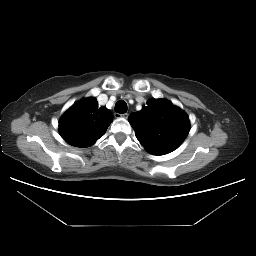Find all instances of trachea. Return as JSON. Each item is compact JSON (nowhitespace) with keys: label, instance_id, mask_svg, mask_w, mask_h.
Wrapping results in <instances>:
<instances>
[{"label":"trachea","instance_id":"obj_1","mask_svg":"<svg viewBox=\"0 0 256 256\" xmlns=\"http://www.w3.org/2000/svg\"><path fill=\"white\" fill-rule=\"evenodd\" d=\"M115 111L119 114L127 112V104L124 100H120L115 104Z\"/></svg>","mask_w":256,"mask_h":256}]
</instances>
